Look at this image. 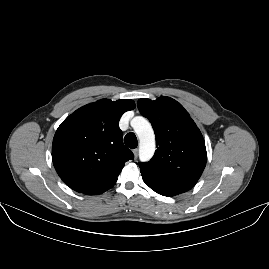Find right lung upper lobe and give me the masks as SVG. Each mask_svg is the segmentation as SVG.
I'll return each instance as SVG.
<instances>
[{
  "label": "right lung upper lobe",
  "instance_id": "obj_1",
  "mask_svg": "<svg viewBox=\"0 0 269 269\" xmlns=\"http://www.w3.org/2000/svg\"><path fill=\"white\" fill-rule=\"evenodd\" d=\"M134 108L133 100L102 99L79 108L60 124L52 160L70 188L91 194L113 187L124 163L134 158L119 128L122 114Z\"/></svg>",
  "mask_w": 269,
  "mask_h": 269
}]
</instances>
